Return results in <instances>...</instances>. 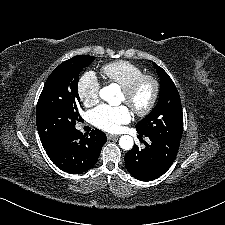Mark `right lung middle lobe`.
<instances>
[{"mask_svg": "<svg viewBox=\"0 0 225 225\" xmlns=\"http://www.w3.org/2000/svg\"><path fill=\"white\" fill-rule=\"evenodd\" d=\"M93 56L78 55L58 65L47 78L36 107V124L43 145L61 140L79 120L78 79Z\"/></svg>", "mask_w": 225, "mask_h": 225, "instance_id": "1", "label": "right lung middle lobe"}]
</instances>
